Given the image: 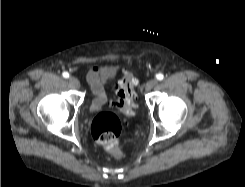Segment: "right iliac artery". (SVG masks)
Wrapping results in <instances>:
<instances>
[{
    "instance_id": "1",
    "label": "right iliac artery",
    "mask_w": 245,
    "mask_h": 187,
    "mask_svg": "<svg viewBox=\"0 0 245 187\" xmlns=\"http://www.w3.org/2000/svg\"><path fill=\"white\" fill-rule=\"evenodd\" d=\"M62 75H63L64 78H69V73L68 72H63Z\"/></svg>"
}]
</instances>
